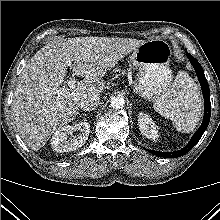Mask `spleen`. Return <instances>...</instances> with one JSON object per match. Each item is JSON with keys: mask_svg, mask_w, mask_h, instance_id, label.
<instances>
[{"mask_svg": "<svg viewBox=\"0 0 220 220\" xmlns=\"http://www.w3.org/2000/svg\"><path fill=\"white\" fill-rule=\"evenodd\" d=\"M154 110L169 118L177 131L190 133L202 115V96L198 85L184 71H179L168 91L153 104Z\"/></svg>", "mask_w": 220, "mask_h": 220, "instance_id": "spleen-1", "label": "spleen"}]
</instances>
